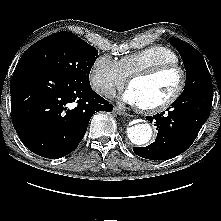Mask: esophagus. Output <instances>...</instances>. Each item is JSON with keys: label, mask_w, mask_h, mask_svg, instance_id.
<instances>
[{"label": "esophagus", "mask_w": 221, "mask_h": 221, "mask_svg": "<svg viewBox=\"0 0 221 221\" xmlns=\"http://www.w3.org/2000/svg\"><path fill=\"white\" fill-rule=\"evenodd\" d=\"M113 112L117 115H127L126 112L123 110L122 105L115 106Z\"/></svg>", "instance_id": "esophagus-1"}]
</instances>
